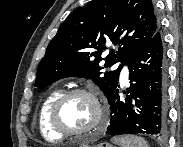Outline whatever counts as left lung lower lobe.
<instances>
[{"mask_svg":"<svg viewBox=\"0 0 183 147\" xmlns=\"http://www.w3.org/2000/svg\"><path fill=\"white\" fill-rule=\"evenodd\" d=\"M130 87L126 98L119 99L118 88L108 98L110 135L144 133L161 136L166 132L167 70L159 30L125 61Z\"/></svg>","mask_w":183,"mask_h":147,"instance_id":"1","label":"left lung lower lobe"}]
</instances>
